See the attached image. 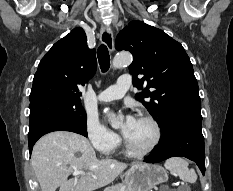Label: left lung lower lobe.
Listing matches in <instances>:
<instances>
[{
	"label": "left lung lower lobe",
	"instance_id": "1",
	"mask_svg": "<svg viewBox=\"0 0 233 191\" xmlns=\"http://www.w3.org/2000/svg\"><path fill=\"white\" fill-rule=\"evenodd\" d=\"M201 123L196 120H182L173 123L169 130L162 134L156 150L145 159V162L159 163L170 157H186L195 161L204 175L205 152Z\"/></svg>",
	"mask_w": 233,
	"mask_h": 191
}]
</instances>
